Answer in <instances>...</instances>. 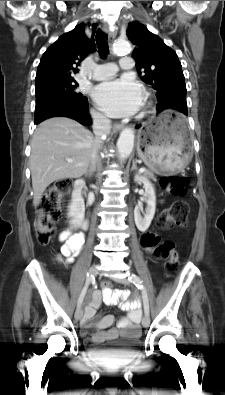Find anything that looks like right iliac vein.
Here are the masks:
<instances>
[{
  "label": "right iliac vein",
  "mask_w": 225,
  "mask_h": 395,
  "mask_svg": "<svg viewBox=\"0 0 225 395\" xmlns=\"http://www.w3.org/2000/svg\"><path fill=\"white\" fill-rule=\"evenodd\" d=\"M96 271H97V269H96L95 266H93V267H91V268L89 269V271H88V273H87V274H88L87 279H88L89 282L92 281L94 275L96 274ZM82 315H83V310H82V308H81V306H80V307L77 308V310H76V312H75V315H74V316H75V320H76V321L80 320L81 317H82Z\"/></svg>",
  "instance_id": "63e3f726"
}]
</instances>
